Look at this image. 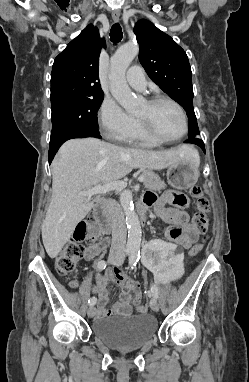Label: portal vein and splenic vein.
I'll return each instance as SVG.
<instances>
[{"label":"portal vein and splenic vein","mask_w":249,"mask_h":382,"mask_svg":"<svg viewBox=\"0 0 249 382\" xmlns=\"http://www.w3.org/2000/svg\"><path fill=\"white\" fill-rule=\"evenodd\" d=\"M145 178L143 176L138 177L137 181L143 182ZM127 187V182L116 180L112 181L110 183H107L105 185H96L95 187H92L91 189H88L87 191L81 192L84 196L91 197L93 195L97 194H104L112 190H123Z\"/></svg>","instance_id":"18ae733b"}]
</instances>
